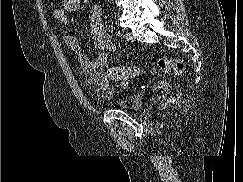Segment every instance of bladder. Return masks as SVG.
<instances>
[{"instance_id":"31cf9c89","label":"bladder","mask_w":243,"mask_h":182,"mask_svg":"<svg viewBox=\"0 0 243 182\" xmlns=\"http://www.w3.org/2000/svg\"><path fill=\"white\" fill-rule=\"evenodd\" d=\"M112 105L115 108L128 111V112H138L143 107V100L137 95H131L124 99L112 101Z\"/></svg>"}]
</instances>
